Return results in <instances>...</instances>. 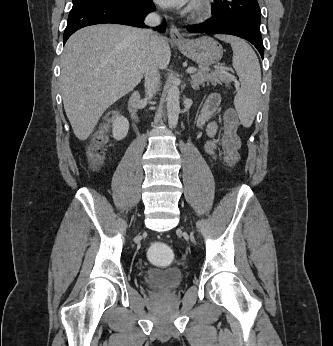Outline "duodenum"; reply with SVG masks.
<instances>
[{
	"mask_svg": "<svg viewBox=\"0 0 333 346\" xmlns=\"http://www.w3.org/2000/svg\"><path fill=\"white\" fill-rule=\"evenodd\" d=\"M140 96L141 95L139 91H134L130 95L129 102H128L130 115L135 122L139 121L138 104H139Z\"/></svg>",
	"mask_w": 333,
	"mask_h": 346,
	"instance_id": "410a0bca",
	"label": "duodenum"
}]
</instances>
